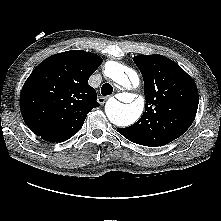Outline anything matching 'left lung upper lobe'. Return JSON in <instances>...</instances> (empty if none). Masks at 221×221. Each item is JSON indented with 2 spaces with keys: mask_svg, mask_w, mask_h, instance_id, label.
<instances>
[{
  "mask_svg": "<svg viewBox=\"0 0 221 221\" xmlns=\"http://www.w3.org/2000/svg\"><path fill=\"white\" fill-rule=\"evenodd\" d=\"M133 61L143 76L146 107L136 123L121 131L136 144H168L194 121L199 102L196 84L178 64L162 55H140Z\"/></svg>",
  "mask_w": 221,
  "mask_h": 221,
  "instance_id": "left-lung-upper-lobe-1",
  "label": "left lung upper lobe"
}]
</instances>
